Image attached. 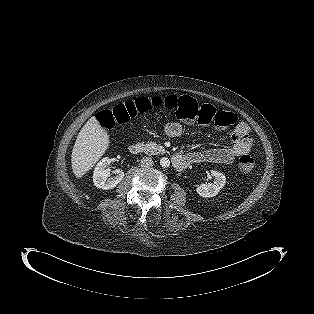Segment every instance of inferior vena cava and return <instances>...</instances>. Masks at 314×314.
I'll return each mask as SVG.
<instances>
[{"label":"inferior vena cava","instance_id":"1","mask_svg":"<svg viewBox=\"0 0 314 314\" xmlns=\"http://www.w3.org/2000/svg\"><path fill=\"white\" fill-rule=\"evenodd\" d=\"M140 163L142 168H150L154 165V162L150 157H143Z\"/></svg>","mask_w":314,"mask_h":314}]
</instances>
